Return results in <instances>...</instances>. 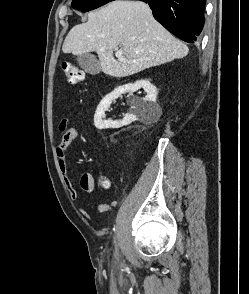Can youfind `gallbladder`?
<instances>
[{
	"label": "gallbladder",
	"mask_w": 249,
	"mask_h": 294,
	"mask_svg": "<svg viewBox=\"0 0 249 294\" xmlns=\"http://www.w3.org/2000/svg\"><path fill=\"white\" fill-rule=\"evenodd\" d=\"M79 66L88 74L96 75L100 72V63L91 53H84L77 56Z\"/></svg>",
	"instance_id": "gallbladder-1"
}]
</instances>
